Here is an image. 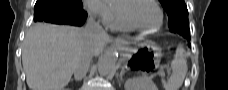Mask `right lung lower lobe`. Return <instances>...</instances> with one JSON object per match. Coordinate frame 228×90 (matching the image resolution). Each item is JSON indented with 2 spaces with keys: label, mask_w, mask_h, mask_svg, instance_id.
<instances>
[{
  "label": "right lung lower lobe",
  "mask_w": 228,
  "mask_h": 90,
  "mask_svg": "<svg viewBox=\"0 0 228 90\" xmlns=\"http://www.w3.org/2000/svg\"><path fill=\"white\" fill-rule=\"evenodd\" d=\"M87 14L82 9H69L58 0H40L34 7V21L82 26Z\"/></svg>",
  "instance_id": "1"
}]
</instances>
